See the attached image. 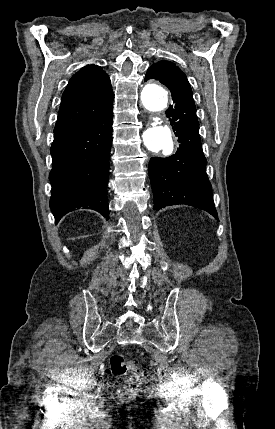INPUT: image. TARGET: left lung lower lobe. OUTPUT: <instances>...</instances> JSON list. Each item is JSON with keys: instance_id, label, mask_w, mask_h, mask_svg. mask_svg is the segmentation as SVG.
Instances as JSON below:
<instances>
[{"instance_id": "left-lung-lower-lobe-1", "label": "left lung lower lobe", "mask_w": 275, "mask_h": 429, "mask_svg": "<svg viewBox=\"0 0 275 429\" xmlns=\"http://www.w3.org/2000/svg\"><path fill=\"white\" fill-rule=\"evenodd\" d=\"M154 78L166 85L173 104L166 111L173 131L179 138V149L166 158L153 157L149 177L154 194V210L186 204L207 211L218 220L211 184L206 174V158L199 136L191 87L187 78L170 73L147 71L145 81Z\"/></svg>"}]
</instances>
